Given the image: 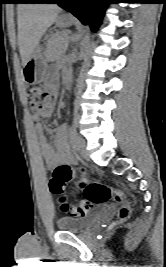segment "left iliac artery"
<instances>
[{
    "label": "left iliac artery",
    "mask_w": 166,
    "mask_h": 267,
    "mask_svg": "<svg viewBox=\"0 0 166 267\" xmlns=\"http://www.w3.org/2000/svg\"><path fill=\"white\" fill-rule=\"evenodd\" d=\"M70 137H71V141H72V143H73L74 146H75L77 133H76L75 128H74L73 126H72L71 129H70Z\"/></svg>",
    "instance_id": "obj_1"
}]
</instances>
